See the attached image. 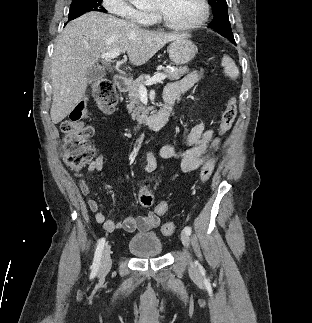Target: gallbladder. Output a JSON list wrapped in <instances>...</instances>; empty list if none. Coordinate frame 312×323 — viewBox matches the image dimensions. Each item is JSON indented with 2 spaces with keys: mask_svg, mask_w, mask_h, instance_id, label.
Returning a JSON list of instances; mask_svg holds the SVG:
<instances>
[{
  "mask_svg": "<svg viewBox=\"0 0 312 323\" xmlns=\"http://www.w3.org/2000/svg\"><path fill=\"white\" fill-rule=\"evenodd\" d=\"M104 76H106V72L102 66H92L91 70H88L86 74L88 84L96 82L98 78H104Z\"/></svg>",
  "mask_w": 312,
  "mask_h": 323,
  "instance_id": "gallbladder-1",
  "label": "gallbladder"
}]
</instances>
